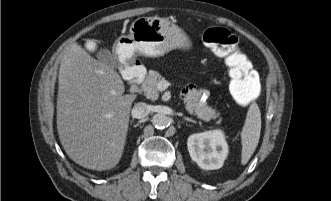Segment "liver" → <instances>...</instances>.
<instances>
[{
  "instance_id": "6515ba94",
  "label": "liver",
  "mask_w": 331,
  "mask_h": 201,
  "mask_svg": "<svg viewBox=\"0 0 331 201\" xmlns=\"http://www.w3.org/2000/svg\"><path fill=\"white\" fill-rule=\"evenodd\" d=\"M58 78L57 130L66 154L87 169L114 168L136 95H123L120 75L77 44L63 54Z\"/></svg>"
}]
</instances>
